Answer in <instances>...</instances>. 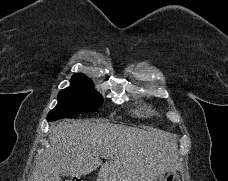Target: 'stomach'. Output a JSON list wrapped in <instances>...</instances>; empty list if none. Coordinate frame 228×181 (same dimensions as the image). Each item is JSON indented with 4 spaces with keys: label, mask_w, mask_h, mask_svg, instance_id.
Segmentation results:
<instances>
[{
    "label": "stomach",
    "mask_w": 228,
    "mask_h": 181,
    "mask_svg": "<svg viewBox=\"0 0 228 181\" xmlns=\"http://www.w3.org/2000/svg\"><path fill=\"white\" fill-rule=\"evenodd\" d=\"M160 181H180V177L176 171H170L165 177H161Z\"/></svg>",
    "instance_id": "obj_1"
}]
</instances>
